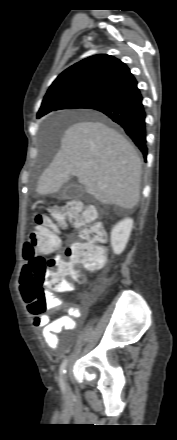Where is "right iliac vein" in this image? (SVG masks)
Instances as JSON below:
<instances>
[{
  "label": "right iliac vein",
  "mask_w": 177,
  "mask_h": 440,
  "mask_svg": "<svg viewBox=\"0 0 177 440\" xmlns=\"http://www.w3.org/2000/svg\"><path fill=\"white\" fill-rule=\"evenodd\" d=\"M65 380L67 381V375H65Z\"/></svg>",
  "instance_id": "right-iliac-vein-1"
}]
</instances>
